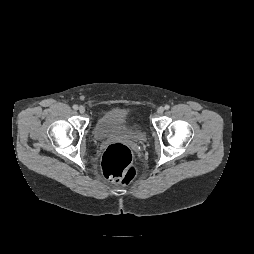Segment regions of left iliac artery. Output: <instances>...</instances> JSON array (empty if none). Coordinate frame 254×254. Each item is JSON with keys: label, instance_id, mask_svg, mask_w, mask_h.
I'll use <instances>...</instances> for the list:
<instances>
[{"label": "left iliac artery", "instance_id": "44dca946", "mask_svg": "<svg viewBox=\"0 0 254 254\" xmlns=\"http://www.w3.org/2000/svg\"><path fill=\"white\" fill-rule=\"evenodd\" d=\"M166 110H168L169 108H170V106L169 105H165V107H164Z\"/></svg>", "mask_w": 254, "mask_h": 254}]
</instances>
